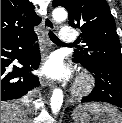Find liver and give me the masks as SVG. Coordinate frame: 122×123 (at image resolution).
<instances>
[{
	"mask_svg": "<svg viewBox=\"0 0 122 123\" xmlns=\"http://www.w3.org/2000/svg\"><path fill=\"white\" fill-rule=\"evenodd\" d=\"M1 123H27L26 113L14 103L1 102Z\"/></svg>",
	"mask_w": 122,
	"mask_h": 123,
	"instance_id": "1",
	"label": "liver"
}]
</instances>
